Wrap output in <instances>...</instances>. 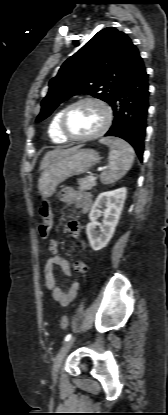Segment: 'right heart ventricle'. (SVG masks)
<instances>
[{"label":"right heart ventricle","instance_id":"1","mask_svg":"<svg viewBox=\"0 0 168 415\" xmlns=\"http://www.w3.org/2000/svg\"><path fill=\"white\" fill-rule=\"evenodd\" d=\"M62 112H63V109H60L53 115L50 121L49 127H48V135L50 139L54 143H58V144L66 143L68 141V139L62 135L60 128H59V122H60V117H61Z\"/></svg>","mask_w":168,"mask_h":415}]
</instances>
